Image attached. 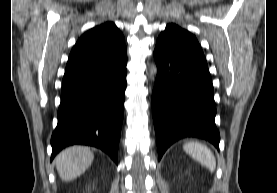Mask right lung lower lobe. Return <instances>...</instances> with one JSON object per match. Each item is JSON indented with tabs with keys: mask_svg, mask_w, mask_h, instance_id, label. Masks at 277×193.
<instances>
[{
	"mask_svg": "<svg viewBox=\"0 0 277 193\" xmlns=\"http://www.w3.org/2000/svg\"><path fill=\"white\" fill-rule=\"evenodd\" d=\"M126 64L127 50L97 68L64 75L51 160L63 148L81 144L100 148L118 164Z\"/></svg>",
	"mask_w": 277,
	"mask_h": 193,
	"instance_id": "obj_1",
	"label": "right lung lower lobe"
}]
</instances>
